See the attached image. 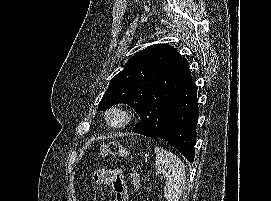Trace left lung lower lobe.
I'll use <instances>...</instances> for the list:
<instances>
[{
  "label": "left lung lower lobe",
  "mask_w": 271,
  "mask_h": 201,
  "mask_svg": "<svg viewBox=\"0 0 271 201\" xmlns=\"http://www.w3.org/2000/svg\"><path fill=\"white\" fill-rule=\"evenodd\" d=\"M197 90L188 68L174 101L171 104L164 129L158 138L165 139L175 147L189 162H193L196 143V123L199 115ZM143 126L137 124L132 132L142 134Z\"/></svg>",
  "instance_id": "1"
}]
</instances>
